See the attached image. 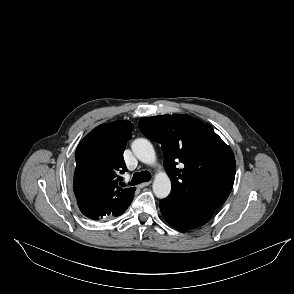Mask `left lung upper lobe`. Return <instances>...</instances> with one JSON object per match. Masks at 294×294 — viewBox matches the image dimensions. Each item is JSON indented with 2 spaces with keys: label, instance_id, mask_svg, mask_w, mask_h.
<instances>
[{
  "label": "left lung upper lobe",
  "instance_id": "1",
  "mask_svg": "<svg viewBox=\"0 0 294 294\" xmlns=\"http://www.w3.org/2000/svg\"><path fill=\"white\" fill-rule=\"evenodd\" d=\"M139 128L162 145L164 167L172 182L170 195L211 210L225 202L233 187L236 162L211 126L189 115H161L141 118Z\"/></svg>",
  "mask_w": 294,
  "mask_h": 294
}]
</instances>
